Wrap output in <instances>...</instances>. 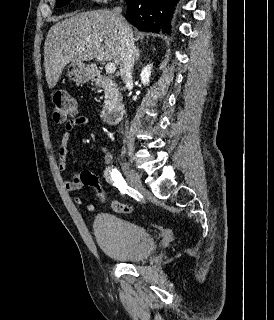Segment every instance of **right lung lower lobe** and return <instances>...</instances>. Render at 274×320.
Here are the masks:
<instances>
[{
  "instance_id": "obj_1",
  "label": "right lung lower lobe",
  "mask_w": 274,
  "mask_h": 320,
  "mask_svg": "<svg viewBox=\"0 0 274 320\" xmlns=\"http://www.w3.org/2000/svg\"><path fill=\"white\" fill-rule=\"evenodd\" d=\"M126 19L143 31L170 33L169 20L178 0H125Z\"/></svg>"
}]
</instances>
